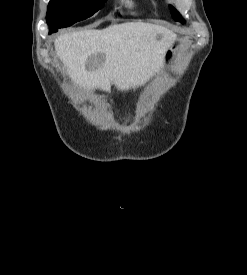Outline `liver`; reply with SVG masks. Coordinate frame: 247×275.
<instances>
[{"mask_svg": "<svg viewBox=\"0 0 247 275\" xmlns=\"http://www.w3.org/2000/svg\"><path fill=\"white\" fill-rule=\"evenodd\" d=\"M175 34L145 22L113 24L62 34L54 41L71 80L85 89L128 91L159 74Z\"/></svg>", "mask_w": 247, "mask_h": 275, "instance_id": "obj_1", "label": "liver"}]
</instances>
